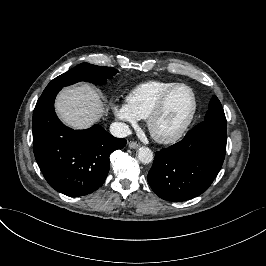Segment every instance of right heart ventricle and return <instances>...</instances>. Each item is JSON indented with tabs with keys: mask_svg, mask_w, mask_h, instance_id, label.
I'll return each mask as SVG.
<instances>
[{
	"mask_svg": "<svg viewBox=\"0 0 266 266\" xmlns=\"http://www.w3.org/2000/svg\"><path fill=\"white\" fill-rule=\"evenodd\" d=\"M173 80H151L136 86L129 94V106L138 119H147L160 97L176 85Z\"/></svg>",
	"mask_w": 266,
	"mask_h": 266,
	"instance_id": "right-heart-ventricle-1",
	"label": "right heart ventricle"
}]
</instances>
